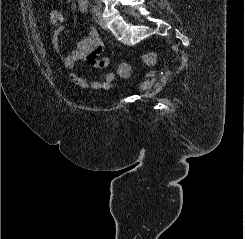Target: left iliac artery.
<instances>
[{
    "mask_svg": "<svg viewBox=\"0 0 245 239\" xmlns=\"http://www.w3.org/2000/svg\"><path fill=\"white\" fill-rule=\"evenodd\" d=\"M92 12H93L96 16H98V15L100 14V9H99V7H98L96 4L93 5V7H92Z\"/></svg>",
    "mask_w": 245,
    "mask_h": 239,
    "instance_id": "left-iliac-artery-1",
    "label": "left iliac artery"
}]
</instances>
